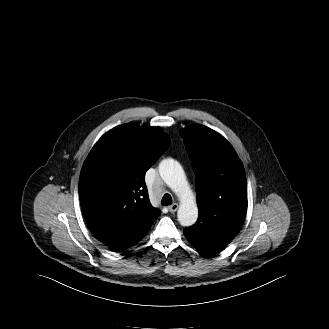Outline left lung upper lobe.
I'll return each instance as SVG.
<instances>
[{"label":"left lung upper lobe","instance_id":"left-lung-upper-lobe-1","mask_svg":"<svg viewBox=\"0 0 329 329\" xmlns=\"http://www.w3.org/2000/svg\"><path fill=\"white\" fill-rule=\"evenodd\" d=\"M195 172L197 222L190 238L214 240L225 230L239 231L247 211L244 167L229 142L216 131L191 125L180 132Z\"/></svg>","mask_w":329,"mask_h":329}]
</instances>
